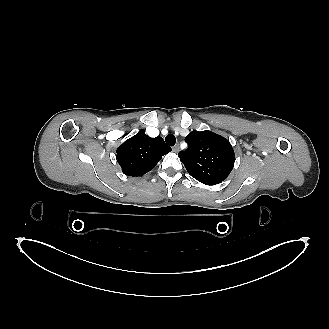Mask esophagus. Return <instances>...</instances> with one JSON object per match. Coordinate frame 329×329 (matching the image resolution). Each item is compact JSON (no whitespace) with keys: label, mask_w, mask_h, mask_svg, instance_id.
I'll return each instance as SVG.
<instances>
[{"label":"esophagus","mask_w":329,"mask_h":329,"mask_svg":"<svg viewBox=\"0 0 329 329\" xmlns=\"http://www.w3.org/2000/svg\"><path fill=\"white\" fill-rule=\"evenodd\" d=\"M172 150H173V152L178 153L180 151L179 145L177 144V145L173 146Z\"/></svg>","instance_id":"1"}]
</instances>
